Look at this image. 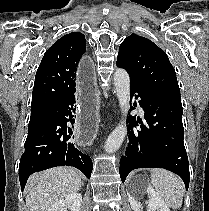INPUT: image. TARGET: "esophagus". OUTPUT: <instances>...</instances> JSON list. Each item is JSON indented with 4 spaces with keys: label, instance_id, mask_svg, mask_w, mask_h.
<instances>
[{
    "label": "esophagus",
    "instance_id": "esophagus-1",
    "mask_svg": "<svg viewBox=\"0 0 209 211\" xmlns=\"http://www.w3.org/2000/svg\"><path fill=\"white\" fill-rule=\"evenodd\" d=\"M82 64L78 67L75 79H78L74 106L76 109L75 133L73 141L77 145H92L95 133H98V99L95 87L96 74H93L92 56H81Z\"/></svg>",
    "mask_w": 209,
    "mask_h": 211
}]
</instances>
